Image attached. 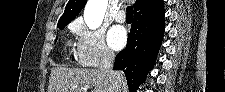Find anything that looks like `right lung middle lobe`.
Wrapping results in <instances>:
<instances>
[{"label":"right lung middle lobe","mask_w":225,"mask_h":92,"mask_svg":"<svg viewBox=\"0 0 225 92\" xmlns=\"http://www.w3.org/2000/svg\"><path fill=\"white\" fill-rule=\"evenodd\" d=\"M69 22H62V23H58V28L60 30L64 29V27L68 24Z\"/></svg>","instance_id":"right-lung-middle-lobe-1"}]
</instances>
